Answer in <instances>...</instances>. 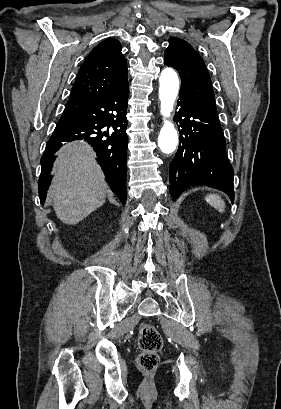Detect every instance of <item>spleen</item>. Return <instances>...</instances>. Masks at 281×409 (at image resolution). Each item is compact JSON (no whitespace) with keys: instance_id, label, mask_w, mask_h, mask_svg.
<instances>
[{"instance_id":"1","label":"spleen","mask_w":281,"mask_h":409,"mask_svg":"<svg viewBox=\"0 0 281 409\" xmlns=\"http://www.w3.org/2000/svg\"><path fill=\"white\" fill-rule=\"evenodd\" d=\"M206 202H209V205L211 207H214V209H217L219 213H224L225 211V202L219 194H206L205 196Z\"/></svg>"}]
</instances>
